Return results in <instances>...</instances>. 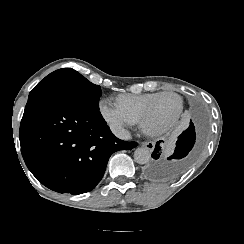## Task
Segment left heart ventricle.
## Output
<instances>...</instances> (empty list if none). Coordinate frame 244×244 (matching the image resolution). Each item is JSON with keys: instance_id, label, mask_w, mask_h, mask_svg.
Instances as JSON below:
<instances>
[{"instance_id": "obj_1", "label": "left heart ventricle", "mask_w": 244, "mask_h": 244, "mask_svg": "<svg viewBox=\"0 0 244 244\" xmlns=\"http://www.w3.org/2000/svg\"><path fill=\"white\" fill-rule=\"evenodd\" d=\"M177 105L178 101L174 96L165 95L157 99L154 109L158 115H163V117L167 119L174 112Z\"/></svg>"}]
</instances>
